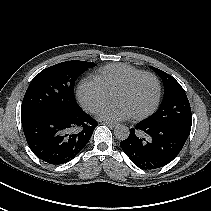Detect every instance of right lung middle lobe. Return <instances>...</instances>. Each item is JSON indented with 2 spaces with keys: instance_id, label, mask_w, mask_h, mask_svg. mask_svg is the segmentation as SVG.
Segmentation results:
<instances>
[{
  "instance_id": "1",
  "label": "right lung middle lobe",
  "mask_w": 211,
  "mask_h": 211,
  "mask_svg": "<svg viewBox=\"0 0 211 211\" xmlns=\"http://www.w3.org/2000/svg\"><path fill=\"white\" fill-rule=\"evenodd\" d=\"M92 62L66 61L42 70L31 81L21 106V117L70 114L82 109L74 96V83Z\"/></svg>"
}]
</instances>
